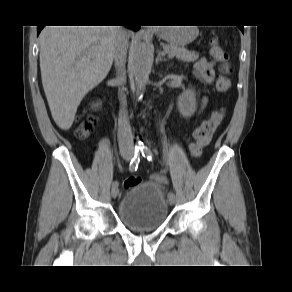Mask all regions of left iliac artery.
I'll return each mask as SVG.
<instances>
[{"label": "left iliac artery", "instance_id": "left-iliac-artery-1", "mask_svg": "<svg viewBox=\"0 0 292 292\" xmlns=\"http://www.w3.org/2000/svg\"><path fill=\"white\" fill-rule=\"evenodd\" d=\"M140 151H141L142 156L144 158H146L149 161H152V159H153V153L151 152V150L147 146H145V145L140 146ZM172 196H174V193L172 191H170L168 193V198L169 197H172Z\"/></svg>", "mask_w": 292, "mask_h": 292}]
</instances>
